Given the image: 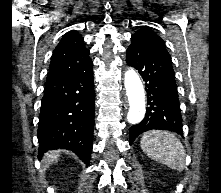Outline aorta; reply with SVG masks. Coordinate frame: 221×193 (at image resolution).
I'll list each match as a JSON object with an SVG mask.
<instances>
[{
  "label": "aorta",
  "mask_w": 221,
  "mask_h": 193,
  "mask_svg": "<svg viewBox=\"0 0 221 193\" xmlns=\"http://www.w3.org/2000/svg\"><path fill=\"white\" fill-rule=\"evenodd\" d=\"M124 84L129 101L127 120L131 124L139 123L145 115V92L139 75L129 69L125 73Z\"/></svg>",
  "instance_id": "762f6f07"
}]
</instances>
